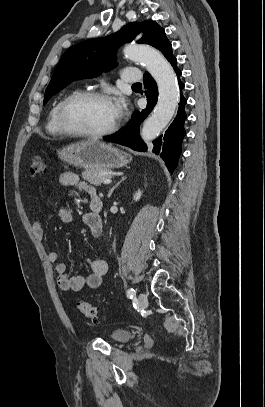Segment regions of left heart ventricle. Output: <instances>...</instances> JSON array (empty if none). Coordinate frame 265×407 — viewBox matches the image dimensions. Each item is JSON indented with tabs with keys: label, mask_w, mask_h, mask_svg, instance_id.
I'll list each match as a JSON object with an SVG mask.
<instances>
[{
	"label": "left heart ventricle",
	"mask_w": 265,
	"mask_h": 407,
	"mask_svg": "<svg viewBox=\"0 0 265 407\" xmlns=\"http://www.w3.org/2000/svg\"><path fill=\"white\" fill-rule=\"evenodd\" d=\"M70 123L88 132L102 131L117 119L112 103L101 99H83L74 102L68 112Z\"/></svg>",
	"instance_id": "obj_1"
}]
</instances>
